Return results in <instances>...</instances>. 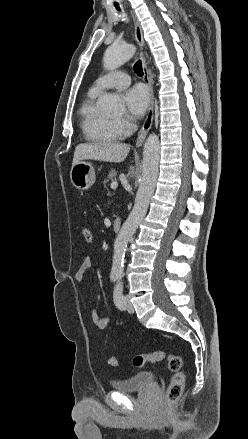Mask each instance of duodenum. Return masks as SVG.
<instances>
[{"label":"duodenum","instance_id":"410a0bca","mask_svg":"<svg viewBox=\"0 0 248 439\" xmlns=\"http://www.w3.org/2000/svg\"><path fill=\"white\" fill-rule=\"evenodd\" d=\"M122 226V219L120 217H116L112 222V229L115 232H118Z\"/></svg>","mask_w":248,"mask_h":439}]
</instances>
